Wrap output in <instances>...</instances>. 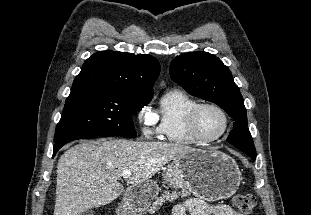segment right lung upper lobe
Instances as JSON below:
<instances>
[{
    "label": "right lung upper lobe",
    "instance_id": "1",
    "mask_svg": "<svg viewBox=\"0 0 311 215\" xmlns=\"http://www.w3.org/2000/svg\"><path fill=\"white\" fill-rule=\"evenodd\" d=\"M159 73L160 64L151 55L98 51L84 62L72 88L95 87L150 97Z\"/></svg>",
    "mask_w": 311,
    "mask_h": 215
}]
</instances>
